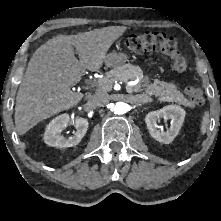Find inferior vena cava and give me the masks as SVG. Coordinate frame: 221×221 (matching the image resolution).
<instances>
[{
    "label": "inferior vena cava",
    "instance_id": "1",
    "mask_svg": "<svg viewBox=\"0 0 221 221\" xmlns=\"http://www.w3.org/2000/svg\"><path fill=\"white\" fill-rule=\"evenodd\" d=\"M109 95L106 93H97L90 97L89 105L91 107H102L109 102Z\"/></svg>",
    "mask_w": 221,
    "mask_h": 221
}]
</instances>
